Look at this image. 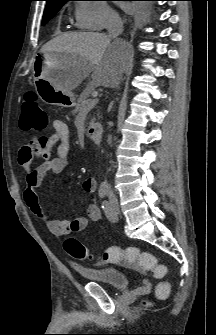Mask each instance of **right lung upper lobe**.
Listing matches in <instances>:
<instances>
[{"mask_svg":"<svg viewBox=\"0 0 216 335\" xmlns=\"http://www.w3.org/2000/svg\"><path fill=\"white\" fill-rule=\"evenodd\" d=\"M47 1V5H51V4H56V3H63V2H67L69 0H46ZM46 5V6H47Z\"/></svg>","mask_w":216,"mask_h":335,"instance_id":"cb5924a9","label":"right lung upper lobe"}]
</instances>
